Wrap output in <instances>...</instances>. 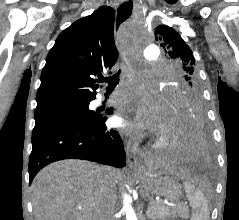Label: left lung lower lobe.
<instances>
[{"mask_svg": "<svg viewBox=\"0 0 239 220\" xmlns=\"http://www.w3.org/2000/svg\"><path fill=\"white\" fill-rule=\"evenodd\" d=\"M172 120L178 136L176 160L187 166H200L208 161L211 151L204 108L181 110Z\"/></svg>", "mask_w": 239, "mask_h": 220, "instance_id": "obj_1", "label": "left lung lower lobe"}]
</instances>
